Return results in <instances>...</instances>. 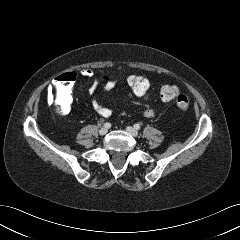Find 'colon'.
I'll return each instance as SVG.
<instances>
[{
	"mask_svg": "<svg viewBox=\"0 0 240 240\" xmlns=\"http://www.w3.org/2000/svg\"><path fill=\"white\" fill-rule=\"evenodd\" d=\"M75 80L74 73H65L54 82L53 103L60 113H67L71 108V89ZM126 87L135 97L143 100L152 94L150 80L140 73H132L125 80ZM158 98L162 102L175 101L180 110H187L191 105L190 99L181 92L175 84H165L158 89Z\"/></svg>",
	"mask_w": 240,
	"mask_h": 240,
	"instance_id": "colon-1",
	"label": "colon"
}]
</instances>
